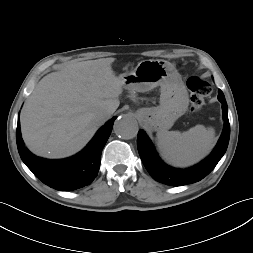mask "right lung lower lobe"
I'll use <instances>...</instances> for the list:
<instances>
[{
  "label": "right lung lower lobe",
  "instance_id": "right-lung-lower-lobe-1",
  "mask_svg": "<svg viewBox=\"0 0 253 253\" xmlns=\"http://www.w3.org/2000/svg\"><path fill=\"white\" fill-rule=\"evenodd\" d=\"M116 117L109 120L89 142L73 157L48 160L36 157L25 147L18 117L16 141L22 161L44 184L60 191H70L90 184L98 174L102 149L105 146Z\"/></svg>",
  "mask_w": 253,
  "mask_h": 253
}]
</instances>
